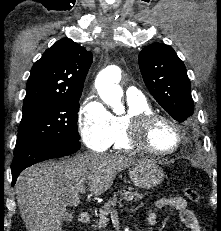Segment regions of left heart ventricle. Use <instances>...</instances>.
I'll list each match as a JSON object with an SVG mask.
<instances>
[{
    "instance_id": "left-heart-ventricle-1",
    "label": "left heart ventricle",
    "mask_w": 221,
    "mask_h": 231,
    "mask_svg": "<svg viewBox=\"0 0 221 231\" xmlns=\"http://www.w3.org/2000/svg\"><path fill=\"white\" fill-rule=\"evenodd\" d=\"M177 141L174 129L165 122H158L150 132V143L152 147L159 151L172 149Z\"/></svg>"
}]
</instances>
